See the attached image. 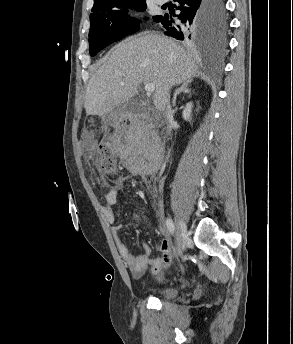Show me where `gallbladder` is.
<instances>
[{
  "label": "gallbladder",
  "mask_w": 293,
  "mask_h": 344,
  "mask_svg": "<svg viewBox=\"0 0 293 344\" xmlns=\"http://www.w3.org/2000/svg\"><path fill=\"white\" fill-rule=\"evenodd\" d=\"M122 109L133 111V112L137 111V109L135 107H132V106H126V107H123Z\"/></svg>",
  "instance_id": "bac80fb5"
}]
</instances>
